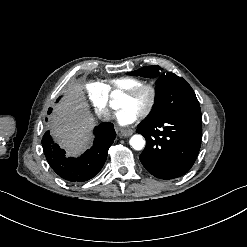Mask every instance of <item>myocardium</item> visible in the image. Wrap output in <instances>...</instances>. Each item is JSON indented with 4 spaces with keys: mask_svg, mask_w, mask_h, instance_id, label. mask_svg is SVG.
<instances>
[{
    "mask_svg": "<svg viewBox=\"0 0 247 247\" xmlns=\"http://www.w3.org/2000/svg\"><path fill=\"white\" fill-rule=\"evenodd\" d=\"M146 93L148 100H147V106L146 108L142 111L144 116H148L152 113L155 103H156V99H157V92L156 89L151 86V85H141L135 89H133L132 91H130L128 93V95L132 98V99H136L138 98L141 94ZM89 127V122H83L82 124V129H83V136L85 138H87V128Z\"/></svg>",
    "mask_w": 247,
    "mask_h": 247,
    "instance_id": "myocardium-1",
    "label": "myocardium"
}]
</instances>
